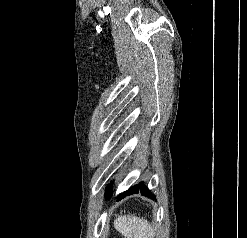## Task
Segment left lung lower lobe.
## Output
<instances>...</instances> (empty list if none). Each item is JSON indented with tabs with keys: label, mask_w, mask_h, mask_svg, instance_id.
<instances>
[{
	"label": "left lung lower lobe",
	"mask_w": 247,
	"mask_h": 238,
	"mask_svg": "<svg viewBox=\"0 0 247 238\" xmlns=\"http://www.w3.org/2000/svg\"><path fill=\"white\" fill-rule=\"evenodd\" d=\"M112 184L108 185L106 191H110ZM141 193V195L149 197L154 199L155 196L151 193V191L144 185L143 182L139 183L138 185L132 186L131 188H129L127 191L121 193L118 195L117 199L120 200L121 198L127 196V195H131V194H135V193Z\"/></svg>",
	"instance_id": "1"
}]
</instances>
